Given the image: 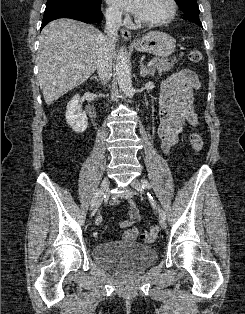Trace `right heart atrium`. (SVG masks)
<instances>
[{
  "label": "right heart atrium",
  "instance_id": "right-heart-atrium-1",
  "mask_svg": "<svg viewBox=\"0 0 245 314\" xmlns=\"http://www.w3.org/2000/svg\"><path fill=\"white\" fill-rule=\"evenodd\" d=\"M106 16L111 22H116L119 19V13L112 8L107 9Z\"/></svg>",
  "mask_w": 245,
  "mask_h": 314
}]
</instances>
